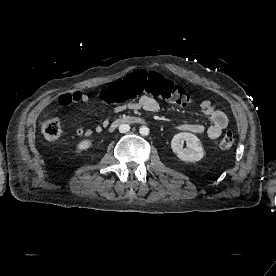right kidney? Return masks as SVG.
<instances>
[{"label": "right kidney", "instance_id": "1", "mask_svg": "<svg viewBox=\"0 0 276 276\" xmlns=\"http://www.w3.org/2000/svg\"><path fill=\"white\" fill-rule=\"evenodd\" d=\"M91 145H92V141L89 139H85L79 142V144L77 145V149L81 151L87 150Z\"/></svg>", "mask_w": 276, "mask_h": 276}]
</instances>
